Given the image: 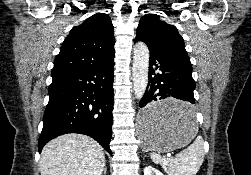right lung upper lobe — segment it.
Listing matches in <instances>:
<instances>
[{"instance_id": "obj_1", "label": "right lung upper lobe", "mask_w": 251, "mask_h": 175, "mask_svg": "<svg viewBox=\"0 0 251 175\" xmlns=\"http://www.w3.org/2000/svg\"><path fill=\"white\" fill-rule=\"evenodd\" d=\"M114 32L106 13H97L73 27L54 61L51 76L102 67L113 61Z\"/></svg>"}]
</instances>
